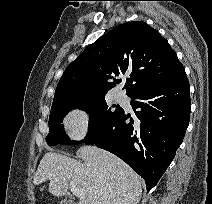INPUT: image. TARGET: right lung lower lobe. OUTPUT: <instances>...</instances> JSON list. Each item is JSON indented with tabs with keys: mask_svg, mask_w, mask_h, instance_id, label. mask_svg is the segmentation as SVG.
Masks as SVG:
<instances>
[{
	"mask_svg": "<svg viewBox=\"0 0 212 204\" xmlns=\"http://www.w3.org/2000/svg\"><path fill=\"white\" fill-rule=\"evenodd\" d=\"M135 116L122 110L88 138L132 167L152 189L181 145L190 117V87L185 71L173 79L128 94Z\"/></svg>",
	"mask_w": 212,
	"mask_h": 204,
	"instance_id": "98d812e1",
	"label": "right lung lower lobe"
}]
</instances>
